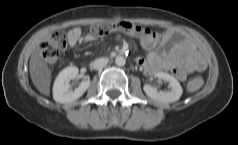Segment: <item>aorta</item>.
<instances>
[{
  "mask_svg": "<svg viewBox=\"0 0 238 145\" xmlns=\"http://www.w3.org/2000/svg\"><path fill=\"white\" fill-rule=\"evenodd\" d=\"M126 63V59L123 56H117L115 59V64L117 66H124Z\"/></svg>",
  "mask_w": 238,
  "mask_h": 145,
  "instance_id": "1",
  "label": "aorta"
}]
</instances>
